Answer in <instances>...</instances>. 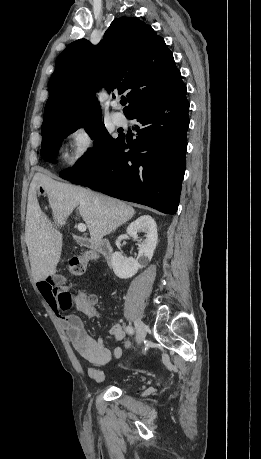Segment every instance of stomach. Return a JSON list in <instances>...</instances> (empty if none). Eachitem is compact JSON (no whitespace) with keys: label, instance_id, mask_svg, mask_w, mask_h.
<instances>
[{"label":"stomach","instance_id":"stomach-1","mask_svg":"<svg viewBox=\"0 0 261 459\" xmlns=\"http://www.w3.org/2000/svg\"><path fill=\"white\" fill-rule=\"evenodd\" d=\"M37 194H45V190L42 186L37 187Z\"/></svg>","mask_w":261,"mask_h":459}]
</instances>
